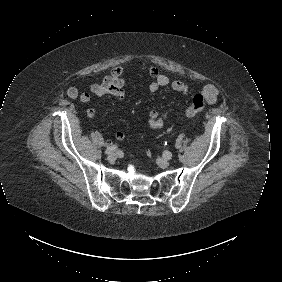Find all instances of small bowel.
Returning <instances> with one entry per match:
<instances>
[{"instance_id": "c3829d8e", "label": "small bowel", "mask_w": 282, "mask_h": 282, "mask_svg": "<svg viewBox=\"0 0 282 282\" xmlns=\"http://www.w3.org/2000/svg\"><path fill=\"white\" fill-rule=\"evenodd\" d=\"M139 69H142L147 72V74L153 79L149 86V92L151 94H155L158 92L160 88L170 87L174 91L180 93H187L189 91V87L182 81L179 80H171L166 75L162 74L160 70L155 66H149L146 64H138ZM125 84L126 79L123 77V68L122 66H116L112 69L109 75H107L100 83L92 84L87 92L80 93L77 87H70L67 89V96L70 99L79 98L82 102H88L90 100V95H94L97 97H102L106 95L114 96L120 103L125 99ZM202 93L206 97V102L208 104H215L218 99V89L212 85L207 84L202 88ZM89 96L88 101L83 100L84 95ZM88 118H94L96 115V110L94 108H90L86 113ZM168 117V111H164L161 113L152 112L148 118V126L151 129L157 130L163 127L166 119ZM125 138V134L123 131L119 130L116 132V139L123 140Z\"/></svg>"}]
</instances>
